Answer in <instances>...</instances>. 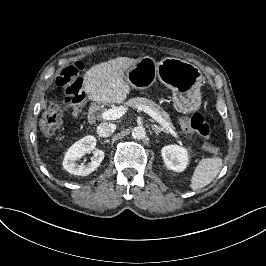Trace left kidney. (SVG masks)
Wrapping results in <instances>:
<instances>
[{"label": "left kidney", "instance_id": "1", "mask_svg": "<svg viewBox=\"0 0 266 266\" xmlns=\"http://www.w3.org/2000/svg\"><path fill=\"white\" fill-rule=\"evenodd\" d=\"M189 149L183 146L171 144L162 148L161 154L168 169L182 172L189 164Z\"/></svg>", "mask_w": 266, "mask_h": 266}]
</instances>
